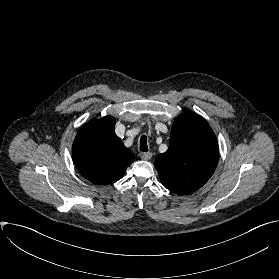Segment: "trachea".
<instances>
[{
  "label": "trachea",
  "instance_id": "3493384b",
  "mask_svg": "<svg viewBox=\"0 0 279 279\" xmlns=\"http://www.w3.org/2000/svg\"><path fill=\"white\" fill-rule=\"evenodd\" d=\"M140 151L142 152L148 151L147 137L145 135L141 136L140 138Z\"/></svg>",
  "mask_w": 279,
  "mask_h": 279
}]
</instances>
